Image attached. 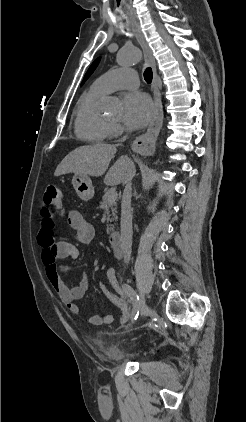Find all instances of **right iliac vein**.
<instances>
[{
  "instance_id": "63e3f726",
  "label": "right iliac vein",
  "mask_w": 246,
  "mask_h": 422,
  "mask_svg": "<svg viewBox=\"0 0 246 422\" xmlns=\"http://www.w3.org/2000/svg\"><path fill=\"white\" fill-rule=\"evenodd\" d=\"M138 305H139V310H140V315H141V317H146V316H148V315H149V313H150V309H149V307L147 306V304H146V302H145L144 297H141V299H140V301H139Z\"/></svg>"
}]
</instances>
